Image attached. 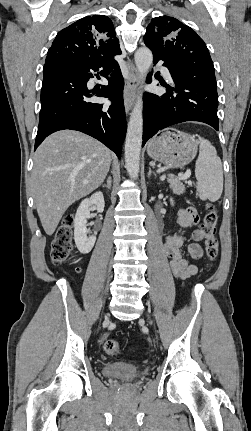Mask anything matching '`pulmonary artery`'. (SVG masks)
<instances>
[{
	"mask_svg": "<svg viewBox=\"0 0 251 431\" xmlns=\"http://www.w3.org/2000/svg\"><path fill=\"white\" fill-rule=\"evenodd\" d=\"M159 69H160V71H161V73L163 74L164 77H166L168 79L171 78V74H170L169 70L166 67L161 66Z\"/></svg>",
	"mask_w": 251,
	"mask_h": 431,
	"instance_id": "1",
	"label": "pulmonary artery"
}]
</instances>
